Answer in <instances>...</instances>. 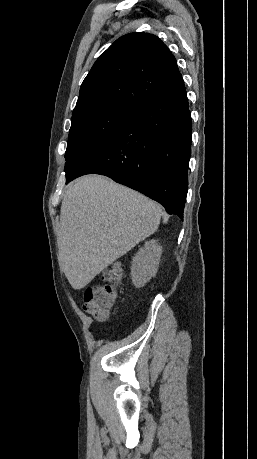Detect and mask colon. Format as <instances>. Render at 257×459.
Segmentation results:
<instances>
[{"mask_svg":"<svg viewBox=\"0 0 257 459\" xmlns=\"http://www.w3.org/2000/svg\"><path fill=\"white\" fill-rule=\"evenodd\" d=\"M122 267L114 264L104 271L107 284H95L88 287L84 294L83 306L89 314L103 319L108 316L116 302V287L121 281Z\"/></svg>","mask_w":257,"mask_h":459,"instance_id":"colon-1","label":"colon"}]
</instances>
